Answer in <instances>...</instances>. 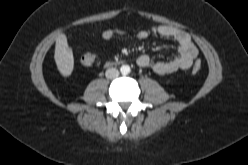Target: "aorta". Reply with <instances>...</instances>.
Masks as SVG:
<instances>
[{
	"label": "aorta",
	"instance_id": "762f6f07",
	"mask_svg": "<svg viewBox=\"0 0 248 165\" xmlns=\"http://www.w3.org/2000/svg\"><path fill=\"white\" fill-rule=\"evenodd\" d=\"M120 71L123 75H127L130 73L131 69L129 65H122Z\"/></svg>",
	"mask_w": 248,
	"mask_h": 165
}]
</instances>
